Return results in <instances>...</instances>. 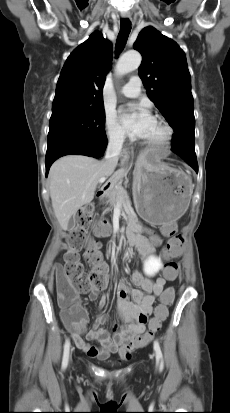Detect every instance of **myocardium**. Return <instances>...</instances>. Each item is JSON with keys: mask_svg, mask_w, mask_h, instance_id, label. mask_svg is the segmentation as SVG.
<instances>
[{"mask_svg": "<svg viewBox=\"0 0 230 413\" xmlns=\"http://www.w3.org/2000/svg\"><path fill=\"white\" fill-rule=\"evenodd\" d=\"M162 130V135L156 140H145L143 139V144L151 149H161L165 147L172 138V129L163 119L156 117L154 119Z\"/></svg>", "mask_w": 230, "mask_h": 413, "instance_id": "obj_1", "label": "myocardium"}]
</instances>
